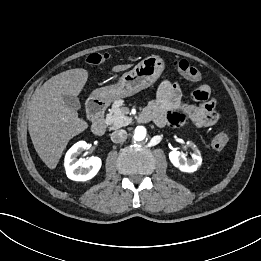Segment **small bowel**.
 I'll use <instances>...</instances> for the list:
<instances>
[{
  "mask_svg": "<svg viewBox=\"0 0 261 261\" xmlns=\"http://www.w3.org/2000/svg\"><path fill=\"white\" fill-rule=\"evenodd\" d=\"M210 87L199 84L191 97L197 104L182 100L183 93L178 83L165 80L157 90L156 99L149 103L143 111V121H154L157 126L166 124L179 125L186 120L198 127H210L219 120L216 104L210 98Z\"/></svg>",
  "mask_w": 261,
  "mask_h": 261,
  "instance_id": "c3829d8e",
  "label": "small bowel"
}]
</instances>
